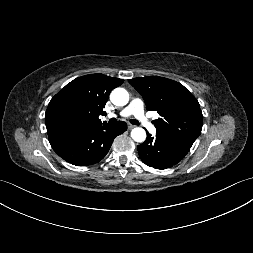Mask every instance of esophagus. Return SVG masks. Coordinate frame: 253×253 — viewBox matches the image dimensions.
I'll use <instances>...</instances> for the list:
<instances>
[{
    "instance_id": "1",
    "label": "esophagus",
    "mask_w": 253,
    "mask_h": 253,
    "mask_svg": "<svg viewBox=\"0 0 253 253\" xmlns=\"http://www.w3.org/2000/svg\"><path fill=\"white\" fill-rule=\"evenodd\" d=\"M134 127H135L134 125L128 124V129H129V130H132Z\"/></svg>"
}]
</instances>
